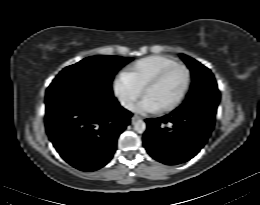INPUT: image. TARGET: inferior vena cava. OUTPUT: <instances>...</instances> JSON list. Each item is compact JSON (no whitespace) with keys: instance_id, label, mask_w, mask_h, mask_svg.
Here are the masks:
<instances>
[{"instance_id":"1","label":"inferior vena cava","mask_w":260,"mask_h":205,"mask_svg":"<svg viewBox=\"0 0 260 205\" xmlns=\"http://www.w3.org/2000/svg\"><path fill=\"white\" fill-rule=\"evenodd\" d=\"M121 105L123 107H125L126 109H128V110H132L133 109V104L129 100H121Z\"/></svg>"}]
</instances>
